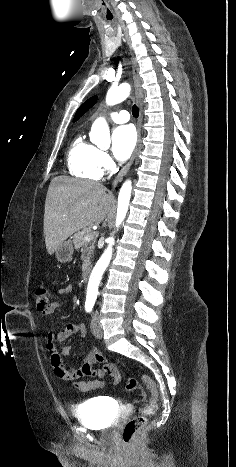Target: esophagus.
Masks as SVG:
<instances>
[{"instance_id":"1","label":"esophagus","mask_w":236,"mask_h":467,"mask_svg":"<svg viewBox=\"0 0 236 467\" xmlns=\"http://www.w3.org/2000/svg\"><path fill=\"white\" fill-rule=\"evenodd\" d=\"M131 67H132V75H133V81H134V95H135L137 104H138L139 109H140V114H139V118H138V122H137V133H138L137 144H136L135 150H134L130 160L121 169V171L118 173L115 180L113 181V187H115V185L119 181H121L123 176L129 171L130 167L132 166V164H133V162H134V160H135V158H136V156L138 154L140 143H141V125H142V120H143L141 77L139 75V68H138L137 62H136V60L134 59L133 56L131 57Z\"/></svg>"}]
</instances>
